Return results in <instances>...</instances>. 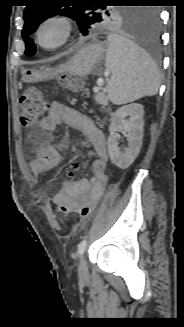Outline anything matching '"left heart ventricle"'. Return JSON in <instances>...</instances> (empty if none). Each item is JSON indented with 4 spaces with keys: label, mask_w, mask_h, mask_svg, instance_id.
Instances as JSON below:
<instances>
[{
    "label": "left heart ventricle",
    "mask_w": 184,
    "mask_h": 327,
    "mask_svg": "<svg viewBox=\"0 0 184 327\" xmlns=\"http://www.w3.org/2000/svg\"><path fill=\"white\" fill-rule=\"evenodd\" d=\"M62 36V28L59 24L53 23L45 26L41 33V40L45 45L57 43Z\"/></svg>",
    "instance_id": "b2bd125f"
}]
</instances>
